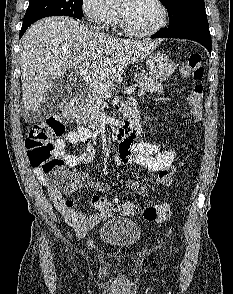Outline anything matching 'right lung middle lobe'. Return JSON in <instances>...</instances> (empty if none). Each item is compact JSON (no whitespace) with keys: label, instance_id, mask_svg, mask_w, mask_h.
<instances>
[{"label":"right lung middle lobe","instance_id":"right-lung-middle-lobe-1","mask_svg":"<svg viewBox=\"0 0 233 294\" xmlns=\"http://www.w3.org/2000/svg\"><path fill=\"white\" fill-rule=\"evenodd\" d=\"M83 0H29L23 25L48 16H70L81 19Z\"/></svg>","mask_w":233,"mask_h":294}]
</instances>
